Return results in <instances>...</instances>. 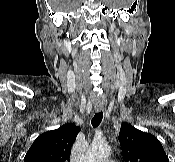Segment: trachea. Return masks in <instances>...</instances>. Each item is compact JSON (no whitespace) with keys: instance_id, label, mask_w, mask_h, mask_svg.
<instances>
[{"instance_id":"3493384b","label":"trachea","mask_w":175,"mask_h":162,"mask_svg":"<svg viewBox=\"0 0 175 162\" xmlns=\"http://www.w3.org/2000/svg\"><path fill=\"white\" fill-rule=\"evenodd\" d=\"M102 118H103L102 111L95 113L94 117L91 120V124H92L93 128H97L100 125Z\"/></svg>"}]
</instances>
